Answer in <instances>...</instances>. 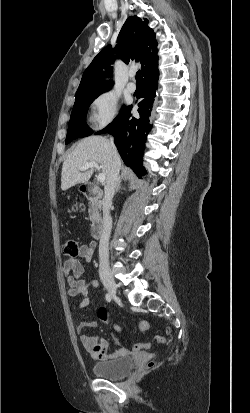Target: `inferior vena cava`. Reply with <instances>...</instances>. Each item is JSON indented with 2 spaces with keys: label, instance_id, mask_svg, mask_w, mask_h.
Returning a JSON list of instances; mask_svg holds the SVG:
<instances>
[{
  "label": "inferior vena cava",
  "instance_id": "1",
  "mask_svg": "<svg viewBox=\"0 0 250 413\" xmlns=\"http://www.w3.org/2000/svg\"><path fill=\"white\" fill-rule=\"evenodd\" d=\"M111 144V156H112V169L110 178L106 182L104 188L103 198V219H102V234L99 242V260L101 268H109V253L108 243L112 229V218L110 215V207L112 205V198L117 186L119 171L121 167L120 157L114 144V138H110Z\"/></svg>",
  "mask_w": 250,
  "mask_h": 413
}]
</instances>
